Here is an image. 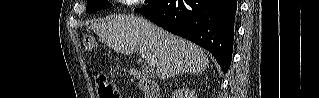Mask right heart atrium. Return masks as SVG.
Masks as SVG:
<instances>
[{"mask_svg": "<svg viewBox=\"0 0 319 98\" xmlns=\"http://www.w3.org/2000/svg\"><path fill=\"white\" fill-rule=\"evenodd\" d=\"M127 3H135L136 1H126Z\"/></svg>", "mask_w": 319, "mask_h": 98, "instance_id": "right-heart-atrium-1", "label": "right heart atrium"}]
</instances>
